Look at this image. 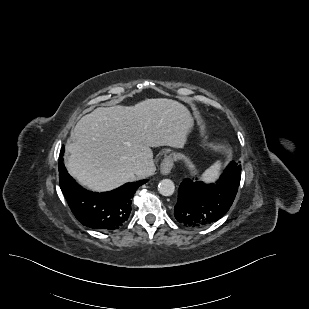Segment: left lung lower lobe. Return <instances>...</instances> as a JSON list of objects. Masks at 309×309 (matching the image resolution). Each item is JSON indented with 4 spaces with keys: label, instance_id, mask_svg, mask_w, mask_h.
<instances>
[{
    "label": "left lung lower lobe",
    "instance_id": "obj_1",
    "mask_svg": "<svg viewBox=\"0 0 309 309\" xmlns=\"http://www.w3.org/2000/svg\"><path fill=\"white\" fill-rule=\"evenodd\" d=\"M241 179V165L232 161L214 184L184 179L178 189L175 218L184 226L206 227L230 209Z\"/></svg>",
    "mask_w": 309,
    "mask_h": 309
}]
</instances>
